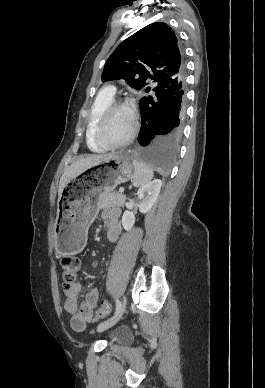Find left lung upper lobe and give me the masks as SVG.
<instances>
[{"mask_svg": "<svg viewBox=\"0 0 265 388\" xmlns=\"http://www.w3.org/2000/svg\"><path fill=\"white\" fill-rule=\"evenodd\" d=\"M185 71L174 31L165 23H152L123 41L106 61L102 82L125 79L140 89ZM147 87L145 92H150ZM146 97H143V100Z\"/></svg>", "mask_w": 265, "mask_h": 388, "instance_id": "5c2ea615", "label": "left lung upper lobe"}]
</instances>
